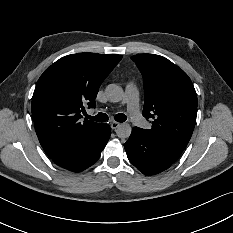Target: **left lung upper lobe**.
Instances as JSON below:
<instances>
[{"label": "left lung upper lobe", "mask_w": 233, "mask_h": 233, "mask_svg": "<svg viewBox=\"0 0 233 233\" xmlns=\"http://www.w3.org/2000/svg\"><path fill=\"white\" fill-rule=\"evenodd\" d=\"M143 76V116L152 120L142 129L151 139L185 149L196 123L197 96L187 74L165 57L138 54L131 57Z\"/></svg>", "instance_id": "5c2ea615"}]
</instances>
